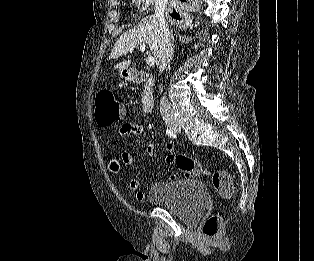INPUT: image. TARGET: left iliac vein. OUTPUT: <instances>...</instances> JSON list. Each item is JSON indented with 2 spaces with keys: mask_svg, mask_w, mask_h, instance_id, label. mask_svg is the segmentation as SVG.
<instances>
[{
  "mask_svg": "<svg viewBox=\"0 0 314 261\" xmlns=\"http://www.w3.org/2000/svg\"><path fill=\"white\" fill-rule=\"evenodd\" d=\"M174 131H175L176 133H180V132H181V129H180V127H178L177 129H174Z\"/></svg>",
  "mask_w": 314,
  "mask_h": 261,
  "instance_id": "left-iliac-vein-1",
  "label": "left iliac vein"
}]
</instances>
